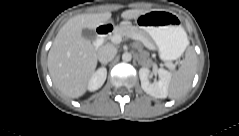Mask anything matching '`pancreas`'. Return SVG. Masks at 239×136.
<instances>
[{
  "instance_id": "1",
  "label": "pancreas",
  "mask_w": 239,
  "mask_h": 136,
  "mask_svg": "<svg viewBox=\"0 0 239 136\" xmlns=\"http://www.w3.org/2000/svg\"><path fill=\"white\" fill-rule=\"evenodd\" d=\"M114 35H120L121 37H130L131 35L140 37L144 39L150 48L154 49L155 46L153 42L150 40V38L139 28L135 26H129L127 24H121L119 26H116L113 30V36ZM112 37V36H111Z\"/></svg>"
}]
</instances>
